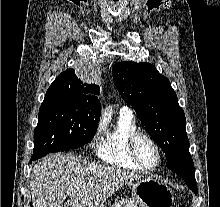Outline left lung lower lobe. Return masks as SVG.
<instances>
[{"mask_svg":"<svg viewBox=\"0 0 220 207\" xmlns=\"http://www.w3.org/2000/svg\"><path fill=\"white\" fill-rule=\"evenodd\" d=\"M166 166L179 174L184 179L187 186L197 194L194 163L190 155L181 160H168Z\"/></svg>","mask_w":220,"mask_h":207,"instance_id":"1","label":"left lung lower lobe"}]
</instances>
